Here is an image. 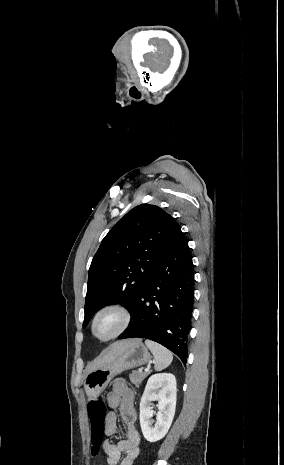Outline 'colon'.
<instances>
[{"mask_svg": "<svg viewBox=\"0 0 284 465\" xmlns=\"http://www.w3.org/2000/svg\"><path fill=\"white\" fill-rule=\"evenodd\" d=\"M89 412V438H92L91 447L89 448V453L93 455L94 458L97 457L98 448H103L104 441L101 438H106L109 428V423L107 420L105 403L102 400H92L87 407Z\"/></svg>", "mask_w": 284, "mask_h": 465, "instance_id": "5ec220e1", "label": "colon"}]
</instances>
